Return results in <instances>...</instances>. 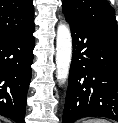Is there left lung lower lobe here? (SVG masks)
I'll list each match as a JSON object with an SVG mask.
<instances>
[{"mask_svg":"<svg viewBox=\"0 0 118 123\" xmlns=\"http://www.w3.org/2000/svg\"><path fill=\"white\" fill-rule=\"evenodd\" d=\"M73 55L62 123L118 121V35L70 23Z\"/></svg>","mask_w":118,"mask_h":123,"instance_id":"1","label":"left lung lower lobe"}]
</instances>
